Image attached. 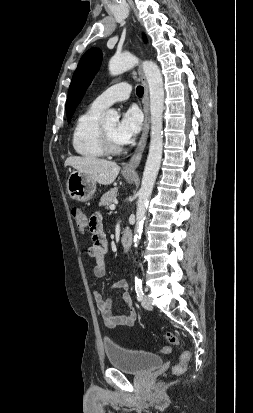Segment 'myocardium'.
<instances>
[{"instance_id": "f54148a6", "label": "myocardium", "mask_w": 253, "mask_h": 413, "mask_svg": "<svg viewBox=\"0 0 253 413\" xmlns=\"http://www.w3.org/2000/svg\"><path fill=\"white\" fill-rule=\"evenodd\" d=\"M99 140L106 154H119L123 151L121 144H116L111 140L102 123L99 125Z\"/></svg>"}]
</instances>
